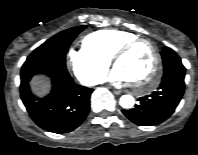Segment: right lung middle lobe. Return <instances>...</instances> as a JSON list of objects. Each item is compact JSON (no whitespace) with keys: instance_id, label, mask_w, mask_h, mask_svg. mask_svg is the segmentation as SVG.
<instances>
[{"instance_id":"dd1d6c3e","label":"right lung middle lobe","mask_w":198,"mask_h":155,"mask_svg":"<svg viewBox=\"0 0 198 155\" xmlns=\"http://www.w3.org/2000/svg\"><path fill=\"white\" fill-rule=\"evenodd\" d=\"M85 28L86 26H78L56 34L41 46L36 48L28 56L25 63H29L34 60H46L65 64V56L69 45Z\"/></svg>"}]
</instances>
